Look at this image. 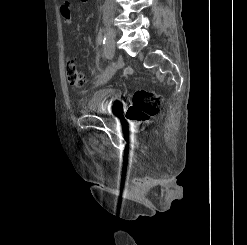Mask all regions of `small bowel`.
<instances>
[{
	"label": "small bowel",
	"instance_id": "obj_1",
	"mask_svg": "<svg viewBox=\"0 0 247 245\" xmlns=\"http://www.w3.org/2000/svg\"><path fill=\"white\" fill-rule=\"evenodd\" d=\"M82 1H86V0H82ZM60 10L65 20L68 22L71 21V10L69 3L65 2L64 4H62Z\"/></svg>",
	"mask_w": 247,
	"mask_h": 245
}]
</instances>
